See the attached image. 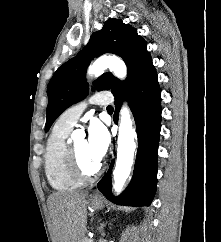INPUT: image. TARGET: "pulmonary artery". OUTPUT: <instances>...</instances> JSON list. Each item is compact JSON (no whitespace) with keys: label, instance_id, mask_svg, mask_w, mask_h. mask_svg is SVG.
<instances>
[{"label":"pulmonary artery","instance_id":"obj_1","mask_svg":"<svg viewBox=\"0 0 221 242\" xmlns=\"http://www.w3.org/2000/svg\"><path fill=\"white\" fill-rule=\"evenodd\" d=\"M110 94L108 92L96 93L87 100L82 101L67 109L57 120L56 125L59 128L71 130L79 120L81 114L89 104L106 105L109 103Z\"/></svg>","mask_w":221,"mask_h":242}]
</instances>
